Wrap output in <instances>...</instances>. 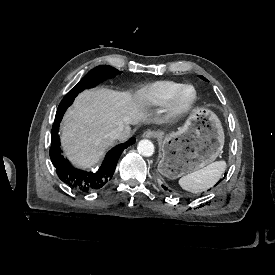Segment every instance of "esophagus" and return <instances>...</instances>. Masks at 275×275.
Returning a JSON list of instances; mask_svg holds the SVG:
<instances>
[{"mask_svg":"<svg viewBox=\"0 0 275 275\" xmlns=\"http://www.w3.org/2000/svg\"><path fill=\"white\" fill-rule=\"evenodd\" d=\"M157 135H158L157 132L148 130L142 134V138H152V137H157Z\"/></svg>","mask_w":275,"mask_h":275,"instance_id":"1","label":"esophagus"}]
</instances>
